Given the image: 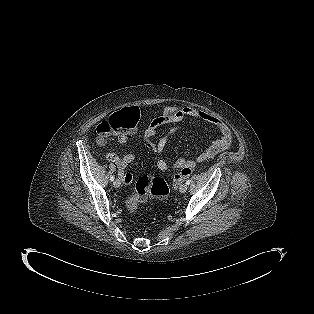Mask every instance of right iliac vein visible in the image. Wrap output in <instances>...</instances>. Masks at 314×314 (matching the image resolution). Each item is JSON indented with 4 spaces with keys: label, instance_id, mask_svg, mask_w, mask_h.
<instances>
[{
    "label": "right iliac vein",
    "instance_id": "obj_1",
    "mask_svg": "<svg viewBox=\"0 0 314 314\" xmlns=\"http://www.w3.org/2000/svg\"><path fill=\"white\" fill-rule=\"evenodd\" d=\"M113 185H114L115 188L120 187V185H121L120 180L119 179H115L114 182H113Z\"/></svg>",
    "mask_w": 314,
    "mask_h": 314
}]
</instances>
